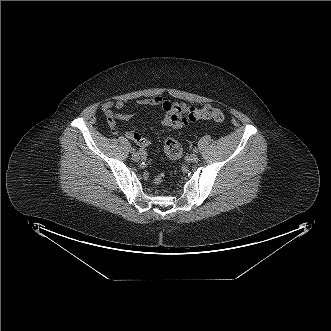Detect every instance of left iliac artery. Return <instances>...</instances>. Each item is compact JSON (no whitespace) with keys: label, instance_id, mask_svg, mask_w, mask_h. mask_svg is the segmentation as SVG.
<instances>
[{"label":"left iliac artery","instance_id":"44dca946","mask_svg":"<svg viewBox=\"0 0 331 331\" xmlns=\"http://www.w3.org/2000/svg\"><path fill=\"white\" fill-rule=\"evenodd\" d=\"M193 151H194L195 153H197V152H198V149H197V148H194Z\"/></svg>","mask_w":331,"mask_h":331}]
</instances>
